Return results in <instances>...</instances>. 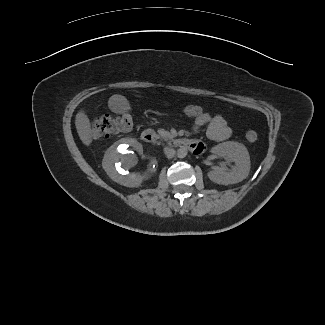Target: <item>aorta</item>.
I'll use <instances>...</instances> for the list:
<instances>
[{"instance_id":"1","label":"aorta","mask_w":325,"mask_h":325,"mask_svg":"<svg viewBox=\"0 0 325 325\" xmlns=\"http://www.w3.org/2000/svg\"><path fill=\"white\" fill-rule=\"evenodd\" d=\"M187 155V148L185 147H180L178 150H177V156L178 158H184L186 157Z\"/></svg>"}]
</instances>
